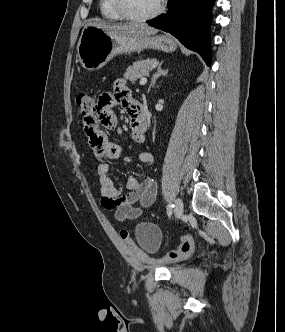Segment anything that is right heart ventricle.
<instances>
[{
    "mask_svg": "<svg viewBox=\"0 0 285 332\" xmlns=\"http://www.w3.org/2000/svg\"><path fill=\"white\" fill-rule=\"evenodd\" d=\"M100 13L102 17L109 21H121L124 18L115 10L112 0H100Z\"/></svg>",
    "mask_w": 285,
    "mask_h": 332,
    "instance_id": "obj_1",
    "label": "right heart ventricle"
}]
</instances>
